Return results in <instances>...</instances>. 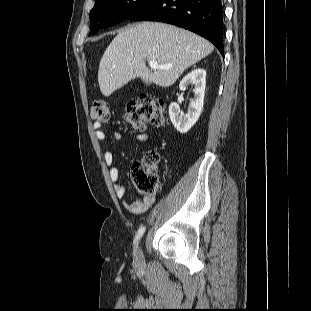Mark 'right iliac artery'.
Returning <instances> with one entry per match:
<instances>
[{
  "label": "right iliac artery",
  "mask_w": 311,
  "mask_h": 311,
  "mask_svg": "<svg viewBox=\"0 0 311 311\" xmlns=\"http://www.w3.org/2000/svg\"><path fill=\"white\" fill-rule=\"evenodd\" d=\"M144 232H145V227L144 226L139 228V230L137 231V234H136V236L134 238V245L135 246H137V244H138L140 238L143 236Z\"/></svg>",
  "instance_id": "right-iliac-artery-1"
}]
</instances>
